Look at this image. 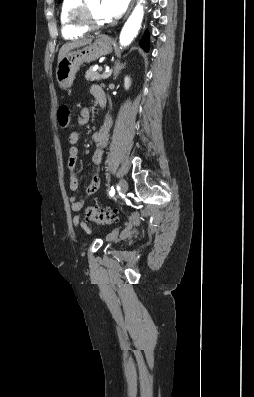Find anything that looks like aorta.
Instances as JSON below:
<instances>
[{
    "label": "aorta",
    "mask_w": 254,
    "mask_h": 397,
    "mask_svg": "<svg viewBox=\"0 0 254 397\" xmlns=\"http://www.w3.org/2000/svg\"><path fill=\"white\" fill-rule=\"evenodd\" d=\"M142 3L144 0H139L120 33L119 41L122 46L129 45L140 29L144 15Z\"/></svg>",
    "instance_id": "762f6f07"
}]
</instances>
